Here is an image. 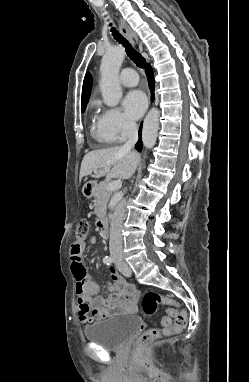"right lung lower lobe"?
<instances>
[{"label":"right lung lower lobe","instance_id":"right-lung-lower-lobe-1","mask_svg":"<svg viewBox=\"0 0 249 382\" xmlns=\"http://www.w3.org/2000/svg\"><path fill=\"white\" fill-rule=\"evenodd\" d=\"M146 74H147V78H148V82H149V88H150V91H151V97H152V100L154 98V76H153V71L151 69V67L148 65L147 67V70H146ZM141 129H142V124L140 126V129H139V136L141 135ZM135 148L140 152L142 150V142L141 140H139L135 146Z\"/></svg>","mask_w":249,"mask_h":382}]
</instances>
